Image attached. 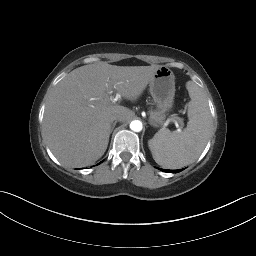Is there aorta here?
<instances>
[{
	"label": "aorta",
	"instance_id": "762f6f07",
	"mask_svg": "<svg viewBox=\"0 0 256 256\" xmlns=\"http://www.w3.org/2000/svg\"><path fill=\"white\" fill-rule=\"evenodd\" d=\"M143 126H142V122L139 120H133L130 123V129L134 132H140L142 130Z\"/></svg>",
	"mask_w": 256,
	"mask_h": 256
}]
</instances>
